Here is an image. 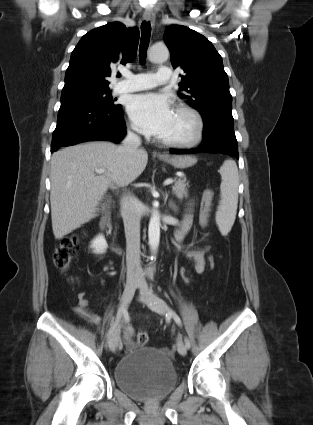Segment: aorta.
I'll use <instances>...</instances> for the list:
<instances>
[{
	"instance_id": "1",
	"label": "aorta",
	"mask_w": 313,
	"mask_h": 425,
	"mask_svg": "<svg viewBox=\"0 0 313 425\" xmlns=\"http://www.w3.org/2000/svg\"><path fill=\"white\" fill-rule=\"evenodd\" d=\"M169 58V50L166 46H153L149 52L152 62H165ZM149 246L153 254H156L160 241V219L158 213H153L148 227Z\"/></svg>"
}]
</instances>
